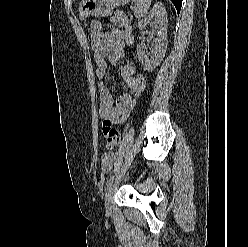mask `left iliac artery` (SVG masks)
I'll return each mask as SVG.
<instances>
[{
	"mask_svg": "<svg viewBox=\"0 0 248 247\" xmlns=\"http://www.w3.org/2000/svg\"><path fill=\"white\" fill-rule=\"evenodd\" d=\"M113 179H114V175H113V176H111V178L107 181L106 185L108 186V185H109V183H110V181H111V180H113Z\"/></svg>",
	"mask_w": 248,
	"mask_h": 247,
	"instance_id": "44dca946",
	"label": "left iliac artery"
}]
</instances>
